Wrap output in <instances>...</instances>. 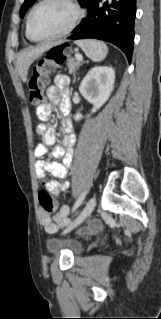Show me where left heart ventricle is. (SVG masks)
I'll return each mask as SVG.
<instances>
[{
  "instance_id": "1",
  "label": "left heart ventricle",
  "mask_w": 161,
  "mask_h": 319,
  "mask_svg": "<svg viewBox=\"0 0 161 319\" xmlns=\"http://www.w3.org/2000/svg\"><path fill=\"white\" fill-rule=\"evenodd\" d=\"M72 9L61 0H50L35 12L31 31L35 38H45L60 32L70 21Z\"/></svg>"
}]
</instances>
